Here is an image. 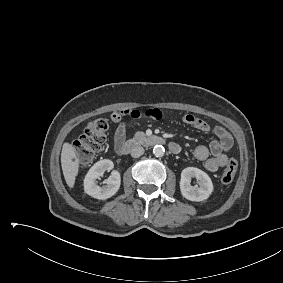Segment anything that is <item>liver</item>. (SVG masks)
Here are the masks:
<instances>
[{
    "label": "liver",
    "instance_id": "obj_1",
    "mask_svg": "<svg viewBox=\"0 0 283 283\" xmlns=\"http://www.w3.org/2000/svg\"><path fill=\"white\" fill-rule=\"evenodd\" d=\"M61 166L67 185L73 188L79 171V160L77 159L75 148L67 142L62 147Z\"/></svg>",
    "mask_w": 283,
    "mask_h": 283
}]
</instances>
